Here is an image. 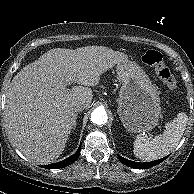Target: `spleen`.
<instances>
[{
    "instance_id": "spleen-1",
    "label": "spleen",
    "mask_w": 194,
    "mask_h": 194,
    "mask_svg": "<svg viewBox=\"0 0 194 194\" xmlns=\"http://www.w3.org/2000/svg\"><path fill=\"white\" fill-rule=\"evenodd\" d=\"M187 121V114L181 112L172 122L166 124L163 134L154 138L138 136L133 145L134 155L142 161H152L166 156L177 147Z\"/></svg>"
}]
</instances>
